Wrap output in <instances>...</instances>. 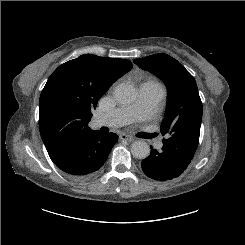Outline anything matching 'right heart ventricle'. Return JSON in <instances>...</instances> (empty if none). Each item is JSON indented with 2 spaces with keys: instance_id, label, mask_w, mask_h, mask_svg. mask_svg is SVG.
Here are the masks:
<instances>
[{
  "instance_id": "1",
  "label": "right heart ventricle",
  "mask_w": 245,
  "mask_h": 245,
  "mask_svg": "<svg viewBox=\"0 0 245 245\" xmlns=\"http://www.w3.org/2000/svg\"><path fill=\"white\" fill-rule=\"evenodd\" d=\"M142 84H147V85H152V86L162 88V85L154 78H149L145 82H143Z\"/></svg>"
}]
</instances>
